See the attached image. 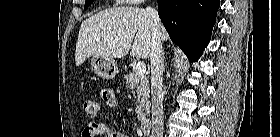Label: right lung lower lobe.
Masks as SVG:
<instances>
[{
  "instance_id": "obj_1",
  "label": "right lung lower lobe",
  "mask_w": 280,
  "mask_h": 137,
  "mask_svg": "<svg viewBox=\"0 0 280 137\" xmlns=\"http://www.w3.org/2000/svg\"><path fill=\"white\" fill-rule=\"evenodd\" d=\"M219 0H158V14L171 40L191 61L208 45Z\"/></svg>"
}]
</instances>
